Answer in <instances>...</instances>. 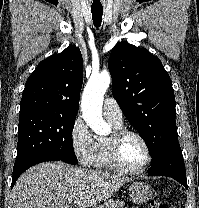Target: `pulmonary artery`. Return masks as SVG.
<instances>
[{
	"mask_svg": "<svg viewBox=\"0 0 199 208\" xmlns=\"http://www.w3.org/2000/svg\"><path fill=\"white\" fill-rule=\"evenodd\" d=\"M103 114L116 125L123 124V112L113 98H106L103 103Z\"/></svg>",
	"mask_w": 199,
	"mask_h": 208,
	"instance_id": "obj_1",
	"label": "pulmonary artery"
}]
</instances>
